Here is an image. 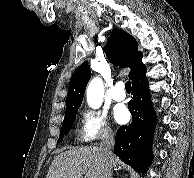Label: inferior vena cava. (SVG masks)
<instances>
[{"mask_svg": "<svg viewBox=\"0 0 194 178\" xmlns=\"http://www.w3.org/2000/svg\"><path fill=\"white\" fill-rule=\"evenodd\" d=\"M114 147V134L111 130L107 131L103 141L100 144L101 154L105 161L104 173L102 178H111L112 162L111 150Z\"/></svg>", "mask_w": 194, "mask_h": 178, "instance_id": "1", "label": "inferior vena cava"}]
</instances>
